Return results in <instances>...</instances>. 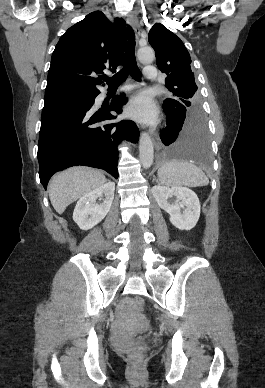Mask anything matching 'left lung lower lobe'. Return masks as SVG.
Returning <instances> with one entry per match:
<instances>
[{"instance_id": "0a47b994", "label": "left lung lower lobe", "mask_w": 265, "mask_h": 388, "mask_svg": "<svg viewBox=\"0 0 265 388\" xmlns=\"http://www.w3.org/2000/svg\"><path fill=\"white\" fill-rule=\"evenodd\" d=\"M167 126L160 133L166 146L161 150L165 159L187 160L207 165L210 160L209 135L200 109H188L177 101L164 100Z\"/></svg>"}]
</instances>
